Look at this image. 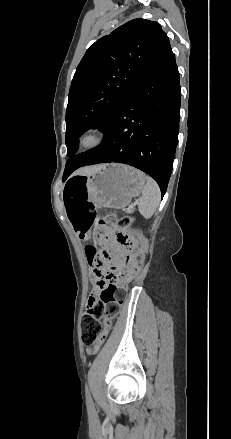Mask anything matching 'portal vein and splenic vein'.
<instances>
[{"label": "portal vein and splenic vein", "instance_id": "obj_1", "mask_svg": "<svg viewBox=\"0 0 231 439\" xmlns=\"http://www.w3.org/2000/svg\"><path fill=\"white\" fill-rule=\"evenodd\" d=\"M134 207V204H131L130 206H129V208H133Z\"/></svg>", "mask_w": 231, "mask_h": 439}]
</instances>
